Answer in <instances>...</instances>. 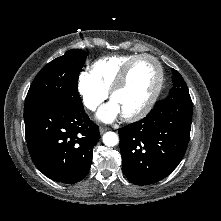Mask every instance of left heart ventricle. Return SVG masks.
<instances>
[{
    "mask_svg": "<svg viewBox=\"0 0 221 221\" xmlns=\"http://www.w3.org/2000/svg\"><path fill=\"white\" fill-rule=\"evenodd\" d=\"M158 81V70L148 59L138 61L131 69L124 86L112 98L122 115L139 111L152 95Z\"/></svg>",
    "mask_w": 221,
    "mask_h": 221,
    "instance_id": "b2bd125f",
    "label": "left heart ventricle"
}]
</instances>
